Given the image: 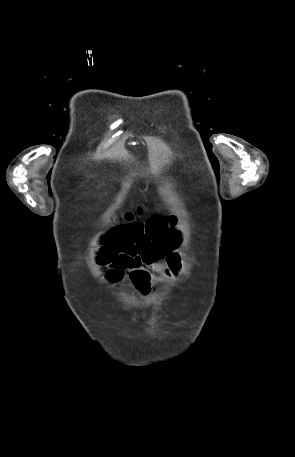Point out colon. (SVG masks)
I'll return each instance as SVG.
<instances>
[{
	"label": "colon",
	"mask_w": 295,
	"mask_h": 457,
	"mask_svg": "<svg viewBox=\"0 0 295 457\" xmlns=\"http://www.w3.org/2000/svg\"><path fill=\"white\" fill-rule=\"evenodd\" d=\"M126 217L130 218V215ZM138 253L139 250L136 247L129 246L122 253L106 257L103 263L109 265V276L120 278L126 270L137 267L139 265V260L136 257Z\"/></svg>",
	"instance_id": "5ec220e1"
}]
</instances>
